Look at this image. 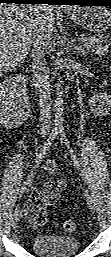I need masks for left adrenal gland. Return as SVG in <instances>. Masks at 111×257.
I'll list each match as a JSON object with an SVG mask.
<instances>
[{
    "label": "left adrenal gland",
    "mask_w": 111,
    "mask_h": 257,
    "mask_svg": "<svg viewBox=\"0 0 111 257\" xmlns=\"http://www.w3.org/2000/svg\"><path fill=\"white\" fill-rule=\"evenodd\" d=\"M70 50L72 51V54H76V53H82V55L85 54V49L84 47H82L81 43H76V39H71L70 42Z\"/></svg>",
    "instance_id": "obj_1"
}]
</instances>
